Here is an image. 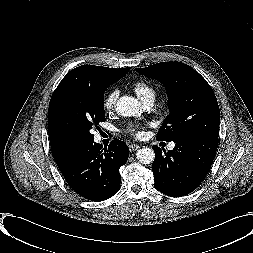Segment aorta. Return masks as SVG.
I'll use <instances>...</instances> for the list:
<instances>
[{"label": "aorta", "instance_id": "aorta-1", "mask_svg": "<svg viewBox=\"0 0 253 253\" xmlns=\"http://www.w3.org/2000/svg\"><path fill=\"white\" fill-rule=\"evenodd\" d=\"M139 101L131 96H122L116 103V111L124 117L141 115ZM138 161L142 164H150L154 161L155 153L153 149L143 147L136 153Z\"/></svg>", "mask_w": 253, "mask_h": 253}]
</instances>
